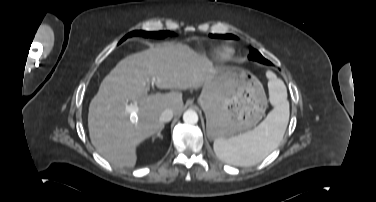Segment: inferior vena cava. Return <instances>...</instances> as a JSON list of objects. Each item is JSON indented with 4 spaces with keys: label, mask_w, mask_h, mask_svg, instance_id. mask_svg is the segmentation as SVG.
I'll return each mask as SVG.
<instances>
[{
    "label": "inferior vena cava",
    "mask_w": 376,
    "mask_h": 202,
    "mask_svg": "<svg viewBox=\"0 0 376 202\" xmlns=\"http://www.w3.org/2000/svg\"><path fill=\"white\" fill-rule=\"evenodd\" d=\"M172 118H173V111L171 109H166L161 113L159 120L162 123H165V122H169Z\"/></svg>",
    "instance_id": "obj_1"
}]
</instances>
